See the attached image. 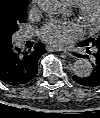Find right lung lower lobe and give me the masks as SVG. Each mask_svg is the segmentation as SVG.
I'll list each match as a JSON object with an SVG mask.
<instances>
[{
    "mask_svg": "<svg viewBox=\"0 0 100 118\" xmlns=\"http://www.w3.org/2000/svg\"><path fill=\"white\" fill-rule=\"evenodd\" d=\"M46 52L42 43L21 51L9 44L0 48V80L11 86L26 84L37 74V63Z\"/></svg>",
    "mask_w": 100,
    "mask_h": 118,
    "instance_id": "obj_1",
    "label": "right lung lower lobe"
}]
</instances>
